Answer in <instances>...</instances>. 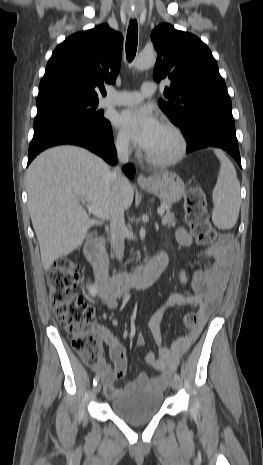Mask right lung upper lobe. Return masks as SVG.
Returning a JSON list of instances; mask_svg holds the SVG:
<instances>
[{
	"instance_id": "obj_1",
	"label": "right lung upper lobe",
	"mask_w": 263,
	"mask_h": 465,
	"mask_svg": "<svg viewBox=\"0 0 263 465\" xmlns=\"http://www.w3.org/2000/svg\"><path fill=\"white\" fill-rule=\"evenodd\" d=\"M122 47V35L107 24L69 36L49 59L37 101L57 96L98 99V95H105L103 83H115Z\"/></svg>"
}]
</instances>
